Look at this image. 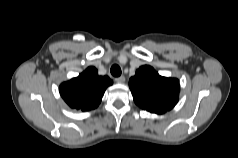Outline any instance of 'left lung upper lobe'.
Wrapping results in <instances>:
<instances>
[{
    "mask_svg": "<svg viewBox=\"0 0 238 158\" xmlns=\"http://www.w3.org/2000/svg\"><path fill=\"white\" fill-rule=\"evenodd\" d=\"M134 102L144 110L163 114L178 102L179 80L160 76L151 66L140 67L130 78Z\"/></svg>",
    "mask_w": 238,
    "mask_h": 158,
    "instance_id": "obj_1",
    "label": "left lung upper lobe"
}]
</instances>
